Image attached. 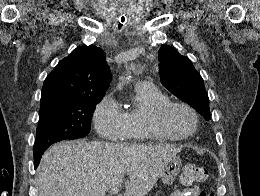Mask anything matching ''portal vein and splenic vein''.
I'll return each mask as SVG.
<instances>
[{"mask_svg":"<svg viewBox=\"0 0 260 196\" xmlns=\"http://www.w3.org/2000/svg\"><path fill=\"white\" fill-rule=\"evenodd\" d=\"M118 192H119V186H115V188H111L109 194H111L112 196V194H118Z\"/></svg>","mask_w":260,"mask_h":196,"instance_id":"portal-vein-and-splenic-vein-1","label":"portal vein and splenic vein"}]
</instances>
